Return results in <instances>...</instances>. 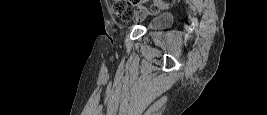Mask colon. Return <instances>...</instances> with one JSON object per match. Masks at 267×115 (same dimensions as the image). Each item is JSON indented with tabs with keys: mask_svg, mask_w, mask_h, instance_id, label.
I'll use <instances>...</instances> for the list:
<instances>
[{
	"mask_svg": "<svg viewBox=\"0 0 267 115\" xmlns=\"http://www.w3.org/2000/svg\"><path fill=\"white\" fill-rule=\"evenodd\" d=\"M115 15L124 22L141 20L147 14H157L160 12L158 6H153L149 11L137 10L132 3L127 0H115L113 3Z\"/></svg>",
	"mask_w": 267,
	"mask_h": 115,
	"instance_id": "1",
	"label": "colon"
}]
</instances>
